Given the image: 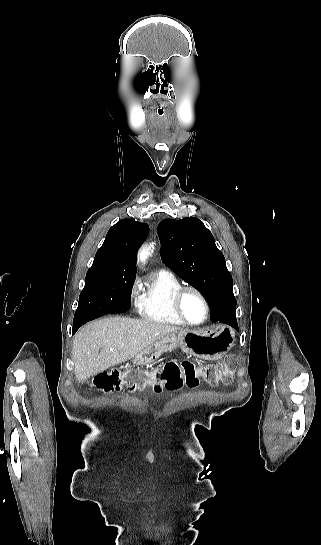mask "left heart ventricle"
<instances>
[{
	"label": "left heart ventricle",
	"mask_w": 321,
	"mask_h": 545,
	"mask_svg": "<svg viewBox=\"0 0 321 545\" xmlns=\"http://www.w3.org/2000/svg\"><path fill=\"white\" fill-rule=\"evenodd\" d=\"M180 308L184 317L193 323L201 321L205 315L204 305L200 297L193 291L183 294Z\"/></svg>",
	"instance_id": "obj_1"
}]
</instances>
